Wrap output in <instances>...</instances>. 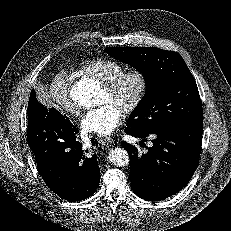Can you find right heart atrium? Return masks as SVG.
I'll return each instance as SVG.
<instances>
[{
    "instance_id": "obj_1",
    "label": "right heart atrium",
    "mask_w": 231,
    "mask_h": 231,
    "mask_svg": "<svg viewBox=\"0 0 231 231\" xmlns=\"http://www.w3.org/2000/svg\"><path fill=\"white\" fill-rule=\"evenodd\" d=\"M50 94L60 110L71 114L78 112L70 96V76L67 72L61 71L53 77Z\"/></svg>"
}]
</instances>
